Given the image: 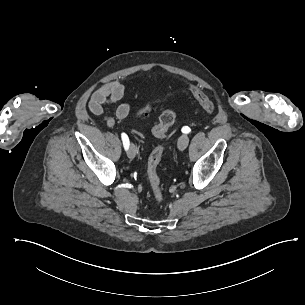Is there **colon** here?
<instances>
[{
	"label": "colon",
	"instance_id": "colon-1",
	"mask_svg": "<svg viewBox=\"0 0 305 305\" xmlns=\"http://www.w3.org/2000/svg\"><path fill=\"white\" fill-rule=\"evenodd\" d=\"M188 90L190 93L194 94L198 103L203 107L208 113H213L215 110L214 104L209 100V98L199 89L198 85L192 83L189 85ZM149 109H145L142 113L148 112ZM175 112L172 109H165L157 122L153 127L152 133L156 137H165L168 129L173 125L175 121ZM164 152L163 145H157L150 153L148 158L147 174L151 185V191L153 196L162 201V187L161 182L157 173L158 165L160 163L161 157Z\"/></svg>",
	"mask_w": 305,
	"mask_h": 305
}]
</instances>
